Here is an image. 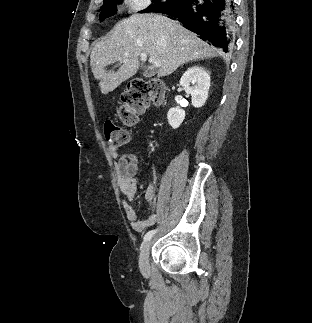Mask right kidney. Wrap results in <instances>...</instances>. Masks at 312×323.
Wrapping results in <instances>:
<instances>
[{
    "instance_id": "ca27d5eb",
    "label": "right kidney",
    "mask_w": 312,
    "mask_h": 323,
    "mask_svg": "<svg viewBox=\"0 0 312 323\" xmlns=\"http://www.w3.org/2000/svg\"><path fill=\"white\" fill-rule=\"evenodd\" d=\"M180 86H182L186 94L192 96V106L194 108H201L208 98L210 76L203 66H191L183 74ZM167 118L171 128L176 130V128L181 126L185 118V112L180 110V108H170Z\"/></svg>"
}]
</instances>
